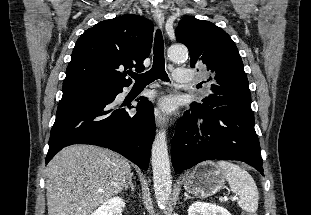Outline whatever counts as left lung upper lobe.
I'll return each instance as SVG.
<instances>
[{
    "label": "left lung upper lobe",
    "mask_w": 311,
    "mask_h": 215,
    "mask_svg": "<svg viewBox=\"0 0 311 215\" xmlns=\"http://www.w3.org/2000/svg\"><path fill=\"white\" fill-rule=\"evenodd\" d=\"M176 39L189 49L192 68L210 72L212 94L196 107L239 106L251 109V95L243 62L230 36L214 23L185 17L175 30Z\"/></svg>",
    "instance_id": "1"
}]
</instances>
